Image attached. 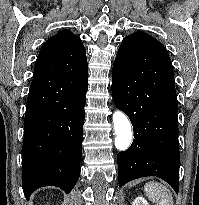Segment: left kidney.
<instances>
[{"mask_svg":"<svg viewBox=\"0 0 199 205\" xmlns=\"http://www.w3.org/2000/svg\"><path fill=\"white\" fill-rule=\"evenodd\" d=\"M132 205H149V203L142 196H138L135 198Z\"/></svg>","mask_w":199,"mask_h":205,"instance_id":"1","label":"left kidney"}]
</instances>
